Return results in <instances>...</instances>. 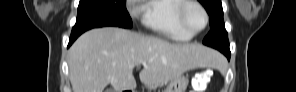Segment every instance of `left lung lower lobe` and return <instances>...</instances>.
<instances>
[{
  "label": "left lung lower lobe",
  "instance_id": "0a47b994",
  "mask_svg": "<svg viewBox=\"0 0 296 92\" xmlns=\"http://www.w3.org/2000/svg\"><path fill=\"white\" fill-rule=\"evenodd\" d=\"M223 54L227 56L228 59H230V50L229 49H220Z\"/></svg>",
  "mask_w": 296,
  "mask_h": 92
}]
</instances>
